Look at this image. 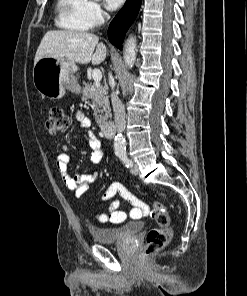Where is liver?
<instances>
[{"instance_id":"1","label":"liver","mask_w":247,"mask_h":296,"mask_svg":"<svg viewBox=\"0 0 247 296\" xmlns=\"http://www.w3.org/2000/svg\"><path fill=\"white\" fill-rule=\"evenodd\" d=\"M106 55L105 44L99 43V37L92 33L53 30L44 35L37 49L34 63L44 57H53L79 64L92 62V64L98 65L104 61Z\"/></svg>"}]
</instances>
